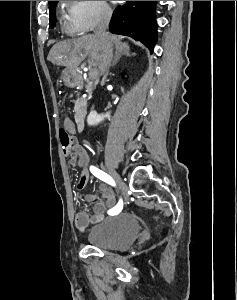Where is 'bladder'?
Returning a JSON list of instances; mask_svg holds the SVG:
<instances>
[{"instance_id": "obj_1", "label": "bladder", "mask_w": 237, "mask_h": 300, "mask_svg": "<svg viewBox=\"0 0 237 300\" xmlns=\"http://www.w3.org/2000/svg\"><path fill=\"white\" fill-rule=\"evenodd\" d=\"M140 224L129 213L107 216L86 233L87 242L106 250H123L130 247L140 233Z\"/></svg>"}]
</instances>
